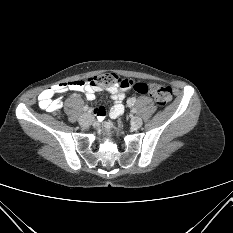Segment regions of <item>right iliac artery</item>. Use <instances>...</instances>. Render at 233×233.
Listing matches in <instances>:
<instances>
[{
  "mask_svg": "<svg viewBox=\"0 0 233 233\" xmlns=\"http://www.w3.org/2000/svg\"><path fill=\"white\" fill-rule=\"evenodd\" d=\"M88 109H89L88 106H84V108H83L84 111L91 112V110H88Z\"/></svg>",
  "mask_w": 233,
  "mask_h": 233,
  "instance_id": "obj_1",
  "label": "right iliac artery"
}]
</instances>
